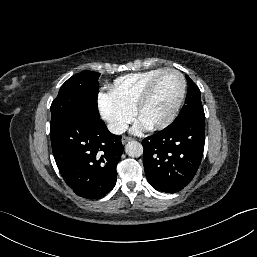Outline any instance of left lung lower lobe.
<instances>
[{
  "label": "left lung lower lobe",
  "mask_w": 257,
  "mask_h": 257,
  "mask_svg": "<svg viewBox=\"0 0 257 257\" xmlns=\"http://www.w3.org/2000/svg\"><path fill=\"white\" fill-rule=\"evenodd\" d=\"M205 119L188 118L142 140L143 164L151 186L176 193L194 178L204 151Z\"/></svg>",
  "instance_id": "obj_1"
}]
</instances>
